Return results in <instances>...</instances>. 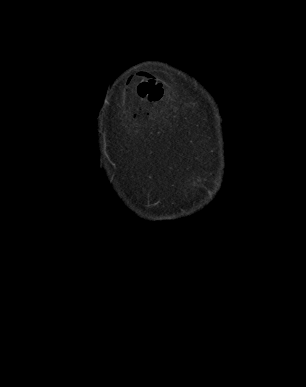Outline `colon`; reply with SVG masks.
Masks as SVG:
<instances>
[{
	"instance_id": "colon-1",
	"label": "colon",
	"mask_w": 306,
	"mask_h": 387,
	"mask_svg": "<svg viewBox=\"0 0 306 387\" xmlns=\"http://www.w3.org/2000/svg\"><path fill=\"white\" fill-rule=\"evenodd\" d=\"M141 96L150 103H156L163 96V88L156 79H149L141 84Z\"/></svg>"
}]
</instances>
